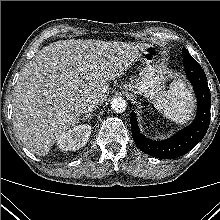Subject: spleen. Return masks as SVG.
Returning <instances> with one entry per match:
<instances>
[{
	"instance_id": "spleen-1",
	"label": "spleen",
	"mask_w": 220,
	"mask_h": 220,
	"mask_svg": "<svg viewBox=\"0 0 220 220\" xmlns=\"http://www.w3.org/2000/svg\"><path fill=\"white\" fill-rule=\"evenodd\" d=\"M154 107L173 122L186 124L194 113L195 100L191 90L178 79L154 99Z\"/></svg>"
}]
</instances>
